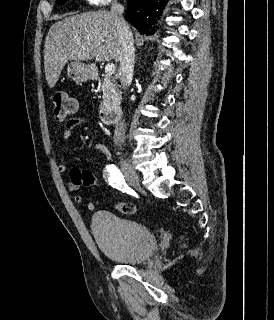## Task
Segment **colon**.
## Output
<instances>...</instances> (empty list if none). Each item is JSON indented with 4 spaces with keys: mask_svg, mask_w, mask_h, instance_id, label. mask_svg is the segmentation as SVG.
<instances>
[{
    "mask_svg": "<svg viewBox=\"0 0 274 320\" xmlns=\"http://www.w3.org/2000/svg\"><path fill=\"white\" fill-rule=\"evenodd\" d=\"M52 101V115L56 121L63 122L68 117L75 115L77 110V102L73 99L65 89H56L51 94ZM74 120V117L71 119ZM91 169H73L70 173L71 182L74 185H79L82 183V186H98L94 182L96 181V176L91 175ZM115 209L117 212L124 215H133L137 209L136 207L127 202L115 204Z\"/></svg>",
    "mask_w": 274,
    "mask_h": 320,
    "instance_id": "colon-1",
    "label": "colon"
}]
</instances>
